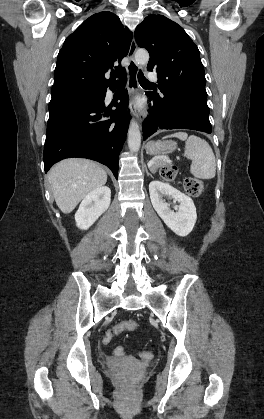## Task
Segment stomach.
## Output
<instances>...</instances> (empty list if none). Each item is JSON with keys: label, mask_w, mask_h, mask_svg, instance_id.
Instances as JSON below:
<instances>
[{"label": "stomach", "mask_w": 264, "mask_h": 419, "mask_svg": "<svg viewBox=\"0 0 264 419\" xmlns=\"http://www.w3.org/2000/svg\"><path fill=\"white\" fill-rule=\"evenodd\" d=\"M174 141H150L146 145V151L150 155H167L176 149Z\"/></svg>", "instance_id": "stomach-1"}]
</instances>
